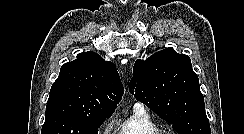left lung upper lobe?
Here are the masks:
<instances>
[{
  "label": "left lung upper lobe",
  "instance_id": "5c2ea615",
  "mask_svg": "<svg viewBox=\"0 0 244 134\" xmlns=\"http://www.w3.org/2000/svg\"><path fill=\"white\" fill-rule=\"evenodd\" d=\"M130 92L179 134H211L199 79L190 58L173 48L137 60Z\"/></svg>",
  "mask_w": 244,
  "mask_h": 134
}]
</instances>
